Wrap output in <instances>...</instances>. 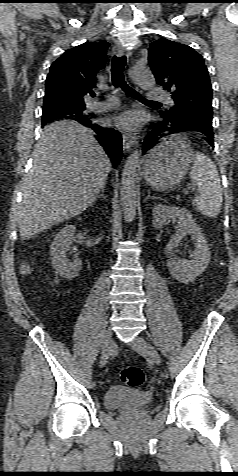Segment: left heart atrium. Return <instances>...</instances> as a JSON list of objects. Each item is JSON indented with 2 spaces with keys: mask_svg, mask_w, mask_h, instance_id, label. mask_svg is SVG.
I'll return each mask as SVG.
<instances>
[{
  "mask_svg": "<svg viewBox=\"0 0 238 476\" xmlns=\"http://www.w3.org/2000/svg\"><path fill=\"white\" fill-rule=\"evenodd\" d=\"M118 126L129 131L139 129L143 123L142 115L137 111H128L115 118Z\"/></svg>",
  "mask_w": 238,
  "mask_h": 476,
  "instance_id": "39dd6f15",
  "label": "left heart atrium"
}]
</instances>
